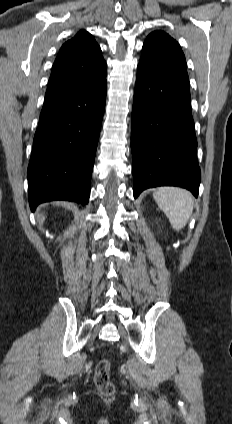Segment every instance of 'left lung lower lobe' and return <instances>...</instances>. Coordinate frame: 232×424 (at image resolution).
Instances as JSON below:
<instances>
[{
    "mask_svg": "<svg viewBox=\"0 0 232 424\" xmlns=\"http://www.w3.org/2000/svg\"><path fill=\"white\" fill-rule=\"evenodd\" d=\"M185 69L138 66L131 124L134 197L157 186H180L198 196L200 168Z\"/></svg>",
    "mask_w": 232,
    "mask_h": 424,
    "instance_id": "1",
    "label": "left lung lower lobe"
}]
</instances>
